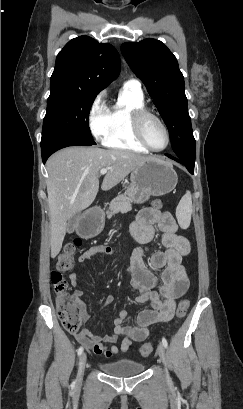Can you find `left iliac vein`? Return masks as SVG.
I'll use <instances>...</instances> for the list:
<instances>
[{"label":"left iliac vein","mask_w":243,"mask_h":409,"mask_svg":"<svg viewBox=\"0 0 243 409\" xmlns=\"http://www.w3.org/2000/svg\"><path fill=\"white\" fill-rule=\"evenodd\" d=\"M157 353H158L163 365L165 366L166 377L169 378V374H168V371H167V368H166V351H165V348H164L162 343L158 344Z\"/></svg>","instance_id":"obj_1"}]
</instances>
